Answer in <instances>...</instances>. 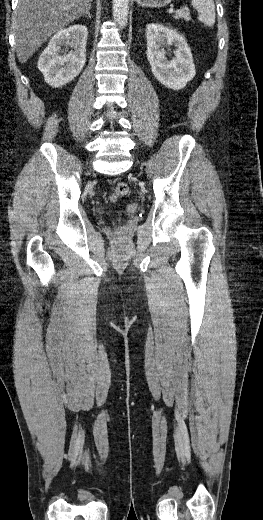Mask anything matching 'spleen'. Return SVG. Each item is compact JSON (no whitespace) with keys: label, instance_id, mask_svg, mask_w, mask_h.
<instances>
[{"label":"spleen","instance_id":"3e777b00","mask_svg":"<svg viewBox=\"0 0 263 520\" xmlns=\"http://www.w3.org/2000/svg\"><path fill=\"white\" fill-rule=\"evenodd\" d=\"M191 5L198 11V19L205 26L212 27L215 23V5L213 0H191Z\"/></svg>","mask_w":263,"mask_h":520}]
</instances>
